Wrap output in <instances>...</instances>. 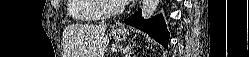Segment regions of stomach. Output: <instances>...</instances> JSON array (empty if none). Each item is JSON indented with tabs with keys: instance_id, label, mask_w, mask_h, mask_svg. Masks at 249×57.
Segmentation results:
<instances>
[{
	"instance_id": "obj_1",
	"label": "stomach",
	"mask_w": 249,
	"mask_h": 57,
	"mask_svg": "<svg viewBox=\"0 0 249 57\" xmlns=\"http://www.w3.org/2000/svg\"><path fill=\"white\" fill-rule=\"evenodd\" d=\"M128 31L123 27H115L111 31V36L116 42H123L127 39Z\"/></svg>"
}]
</instances>
